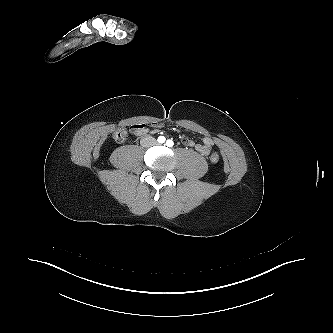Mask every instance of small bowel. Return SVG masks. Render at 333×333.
Listing matches in <instances>:
<instances>
[{
  "label": "small bowel",
  "mask_w": 333,
  "mask_h": 333,
  "mask_svg": "<svg viewBox=\"0 0 333 333\" xmlns=\"http://www.w3.org/2000/svg\"><path fill=\"white\" fill-rule=\"evenodd\" d=\"M153 126H160L159 123H153ZM131 133L135 136H142L147 133V128L144 124H137L131 126ZM183 144L187 147H194L198 153L207 156L212 150V140L209 137H204L202 143L195 144V142L190 138H184L182 140Z\"/></svg>",
  "instance_id": "obj_1"
}]
</instances>
